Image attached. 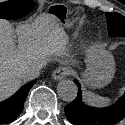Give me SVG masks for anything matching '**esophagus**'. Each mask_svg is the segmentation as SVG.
Instances as JSON below:
<instances>
[{
  "label": "esophagus",
  "mask_w": 125,
  "mask_h": 125,
  "mask_svg": "<svg viewBox=\"0 0 125 125\" xmlns=\"http://www.w3.org/2000/svg\"><path fill=\"white\" fill-rule=\"evenodd\" d=\"M71 74V69L69 67L61 66L58 67L52 74L54 80H61L64 77Z\"/></svg>",
  "instance_id": "34e87169"
}]
</instances>
